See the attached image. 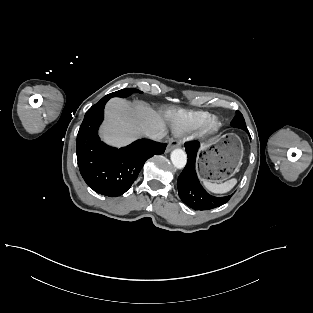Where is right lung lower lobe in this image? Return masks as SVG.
<instances>
[{"mask_svg":"<svg viewBox=\"0 0 313 313\" xmlns=\"http://www.w3.org/2000/svg\"><path fill=\"white\" fill-rule=\"evenodd\" d=\"M108 100L102 98L86 112L77 135L76 154L88 186L102 195L116 197L131 187L148 158L164 153L167 144L148 139L120 149L104 144L97 132Z\"/></svg>","mask_w":313,"mask_h":313,"instance_id":"1","label":"right lung lower lobe"}]
</instances>
